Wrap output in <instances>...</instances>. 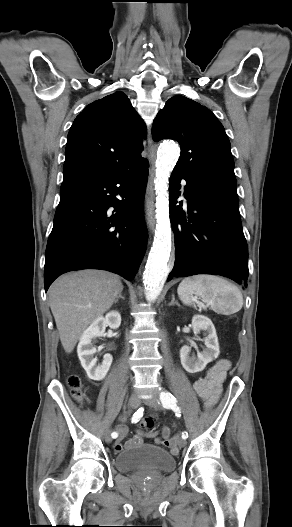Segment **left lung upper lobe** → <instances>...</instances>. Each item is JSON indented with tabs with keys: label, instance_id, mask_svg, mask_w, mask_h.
Here are the masks:
<instances>
[{
	"label": "left lung upper lobe",
	"instance_id": "1",
	"mask_svg": "<svg viewBox=\"0 0 292 527\" xmlns=\"http://www.w3.org/2000/svg\"><path fill=\"white\" fill-rule=\"evenodd\" d=\"M152 136L155 141L168 138L179 142L181 154L173 172L187 182L236 192L230 141L208 108L187 97L173 96L155 118Z\"/></svg>",
	"mask_w": 292,
	"mask_h": 527
}]
</instances>
